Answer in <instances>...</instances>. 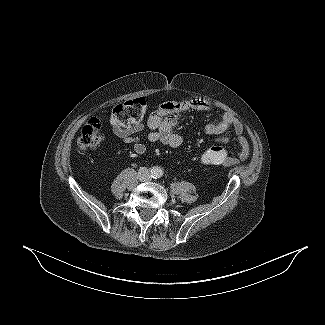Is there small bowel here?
Returning a JSON list of instances; mask_svg holds the SVG:
<instances>
[{
	"mask_svg": "<svg viewBox=\"0 0 325 325\" xmlns=\"http://www.w3.org/2000/svg\"><path fill=\"white\" fill-rule=\"evenodd\" d=\"M212 106L203 100L185 99L182 101L164 102L153 112L146 123L131 125L127 128L112 126L113 133L125 144L132 146L133 152L142 155L147 150V143L162 144L169 147H179L183 144V137L175 131L180 116L187 111L208 112ZM147 127L150 132L143 140L139 133ZM233 129L237 135L238 152L237 156L245 160L249 155V145L242 136L241 123L231 114L225 113L217 119L209 122L206 127V133L213 138L215 144H225L228 138L224 133ZM229 160L228 163H233Z\"/></svg>",
	"mask_w": 325,
	"mask_h": 325,
	"instance_id": "c3829d8e",
	"label": "small bowel"
}]
</instances>
